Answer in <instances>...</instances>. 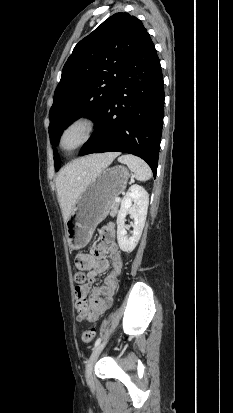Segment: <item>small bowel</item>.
<instances>
[{
  "instance_id": "obj_1",
  "label": "small bowel",
  "mask_w": 233,
  "mask_h": 413,
  "mask_svg": "<svg viewBox=\"0 0 233 413\" xmlns=\"http://www.w3.org/2000/svg\"><path fill=\"white\" fill-rule=\"evenodd\" d=\"M76 261L83 270L87 271L88 284L76 287V309L78 321L95 322L113 302L117 288V279L121 273L123 262L117 243L115 242V226L105 225L100 231V242L90 253L79 254ZM109 268L103 283L90 289L96 277Z\"/></svg>"
}]
</instances>
